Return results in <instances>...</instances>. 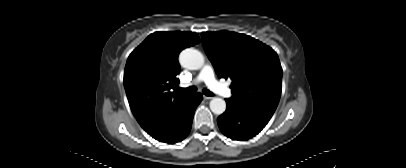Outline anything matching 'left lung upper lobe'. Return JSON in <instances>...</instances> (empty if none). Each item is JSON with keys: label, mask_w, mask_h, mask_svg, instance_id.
Listing matches in <instances>:
<instances>
[{"label": "left lung upper lobe", "mask_w": 406, "mask_h": 168, "mask_svg": "<svg viewBox=\"0 0 406 168\" xmlns=\"http://www.w3.org/2000/svg\"><path fill=\"white\" fill-rule=\"evenodd\" d=\"M202 40L218 77L232 80V99L275 111L281 96L282 68L272 48L229 31L203 32Z\"/></svg>", "instance_id": "obj_1"}]
</instances>
